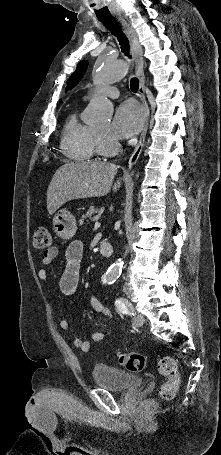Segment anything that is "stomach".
<instances>
[{"label": "stomach", "mask_w": 221, "mask_h": 455, "mask_svg": "<svg viewBox=\"0 0 221 455\" xmlns=\"http://www.w3.org/2000/svg\"><path fill=\"white\" fill-rule=\"evenodd\" d=\"M52 223L55 234L64 240L71 239L77 231L75 217L66 209L59 210Z\"/></svg>", "instance_id": "1"}]
</instances>
